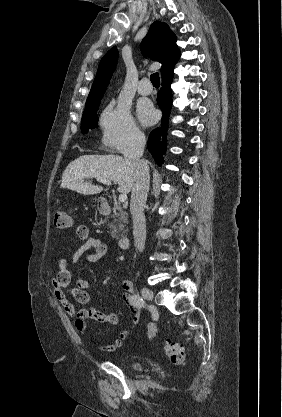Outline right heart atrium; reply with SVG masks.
Returning <instances> with one entry per match:
<instances>
[{
    "label": "right heart atrium",
    "mask_w": 282,
    "mask_h": 417,
    "mask_svg": "<svg viewBox=\"0 0 282 417\" xmlns=\"http://www.w3.org/2000/svg\"><path fill=\"white\" fill-rule=\"evenodd\" d=\"M100 126L104 144L121 153L135 150L143 140L128 108L120 102L113 101L107 106Z\"/></svg>",
    "instance_id": "1"
}]
</instances>
